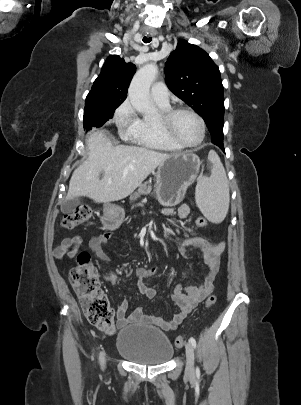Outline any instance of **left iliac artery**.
<instances>
[{
	"label": "left iliac artery",
	"mask_w": 301,
	"mask_h": 405,
	"mask_svg": "<svg viewBox=\"0 0 301 405\" xmlns=\"http://www.w3.org/2000/svg\"><path fill=\"white\" fill-rule=\"evenodd\" d=\"M189 342L193 345V347H196V340L193 337H190Z\"/></svg>",
	"instance_id": "44dca946"
}]
</instances>
